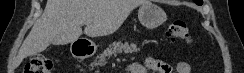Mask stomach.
Segmentation results:
<instances>
[{
    "instance_id": "1",
    "label": "stomach",
    "mask_w": 244,
    "mask_h": 73,
    "mask_svg": "<svg viewBox=\"0 0 244 73\" xmlns=\"http://www.w3.org/2000/svg\"><path fill=\"white\" fill-rule=\"evenodd\" d=\"M138 18L143 26L153 29L160 26L167 18L165 11L151 2L142 4L138 10Z\"/></svg>"
}]
</instances>
